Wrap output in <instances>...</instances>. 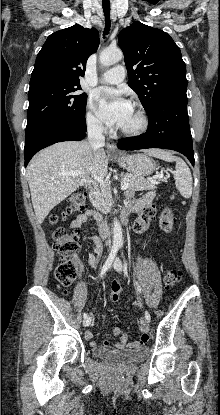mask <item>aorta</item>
Segmentation results:
<instances>
[{
	"label": "aorta",
	"instance_id": "aorta-1",
	"mask_svg": "<svg viewBox=\"0 0 220 415\" xmlns=\"http://www.w3.org/2000/svg\"><path fill=\"white\" fill-rule=\"evenodd\" d=\"M123 58V53L120 49H105L100 53V63L102 66H111ZM113 243L115 245H122L123 243V235H122V228L117 219L114 220L113 225Z\"/></svg>",
	"mask_w": 220,
	"mask_h": 415
}]
</instances>
